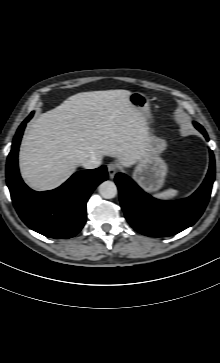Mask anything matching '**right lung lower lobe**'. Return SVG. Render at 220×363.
Segmentation results:
<instances>
[{
    "label": "right lung lower lobe",
    "instance_id": "1",
    "mask_svg": "<svg viewBox=\"0 0 220 363\" xmlns=\"http://www.w3.org/2000/svg\"><path fill=\"white\" fill-rule=\"evenodd\" d=\"M32 116L23 121L14 137L7 158V186L17 213L29 228L50 238H71L84 226L86 202L108 173L105 166L80 171L51 191L36 192L27 187L19 174L17 156L25 125Z\"/></svg>",
    "mask_w": 220,
    "mask_h": 363
}]
</instances>
